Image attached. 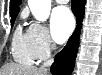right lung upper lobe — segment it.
I'll return each mask as SVG.
<instances>
[{
    "label": "right lung upper lobe",
    "instance_id": "right-lung-upper-lobe-1",
    "mask_svg": "<svg viewBox=\"0 0 102 75\" xmlns=\"http://www.w3.org/2000/svg\"><path fill=\"white\" fill-rule=\"evenodd\" d=\"M21 0H10V15H17L19 12V5Z\"/></svg>",
    "mask_w": 102,
    "mask_h": 75
}]
</instances>
